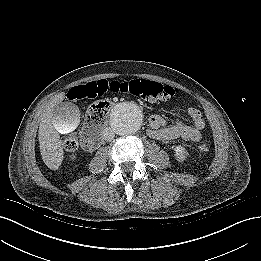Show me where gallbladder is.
I'll return each instance as SVG.
<instances>
[{
  "label": "gallbladder",
  "mask_w": 261,
  "mask_h": 261,
  "mask_svg": "<svg viewBox=\"0 0 261 261\" xmlns=\"http://www.w3.org/2000/svg\"><path fill=\"white\" fill-rule=\"evenodd\" d=\"M51 121L57 132L67 134L80 124V111L72 102H62L54 108Z\"/></svg>",
  "instance_id": "1"
}]
</instances>
